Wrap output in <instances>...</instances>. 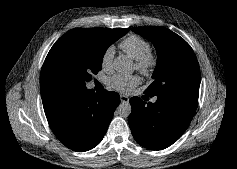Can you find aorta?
Segmentation results:
<instances>
[{
	"label": "aorta",
	"instance_id": "aorta-1",
	"mask_svg": "<svg viewBox=\"0 0 237 169\" xmlns=\"http://www.w3.org/2000/svg\"><path fill=\"white\" fill-rule=\"evenodd\" d=\"M113 68L118 73H132L134 71V65L131 59L125 55L116 57L113 61ZM132 108L129 102L123 101L117 107V113L121 117H128L131 114Z\"/></svg>",
	"mask_w": 237,
	"mask_h": 169
}]
</instances>
